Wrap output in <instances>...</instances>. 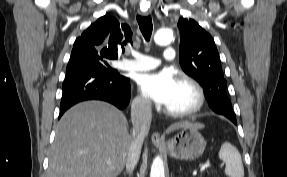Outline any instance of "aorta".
Masks as SVG:
<instances>
[{
	"instance_id": "762f6f07",
	"label": "aorta",
	"mask_w": 287,
	"mask_h": 177,
	"mask_svg": "<svg viewBox=\"0 0 287 177\" xmlns=\"http://www.w3.org/2000/svg\"><path fill=\"white\" fill-rule=\"evenodd\" d=\"M172 40L173 32L170 29H160L154 35V41L158 45H168ZM150 177H165L163 160L159 156L152 163Z\"/></svg>"
}]
</instances>
